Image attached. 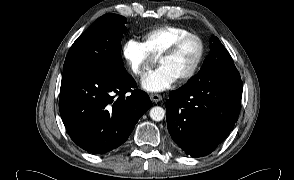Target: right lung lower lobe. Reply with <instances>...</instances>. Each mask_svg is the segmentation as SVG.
<instances>
[{"mask_svg":"<svg viewBox=\"0 0 294 180\" xmlns=\"http://www.w3.org/2000/svg\"><path fill=\"white\" fill-rule=\"evenodd\" d=\"M135 87L128 74L89 71L62 78L59 109L71 139L95 154L123 144L151 106L149 96Z\"/></svg>","mask_w":294,"mask_h":180,"instance_id":"obj_1","label":"right lung lower lobe"}]
</instances>
